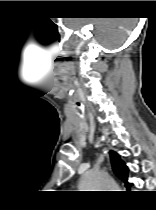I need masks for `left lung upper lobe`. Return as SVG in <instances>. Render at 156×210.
Segmentation results:
<instances>
[{"label": "left lung upper lobe", "instance_id": "1", "mask_svg": "<svg viewBox=\"0 0 156 210\" xmlns=\"http://www.w3.org/2000/svg\"><path fill=\"white\" fill-rule=\"evenodd\" d=\"M111 155V162L114 173L126 183L127 187H130V184H128L127 178H128V168L125 165V163L120 159V156L114 152L110 151Z\"/></svg>", "mask_w": 156, "mask_h": 210}]
</instances>
